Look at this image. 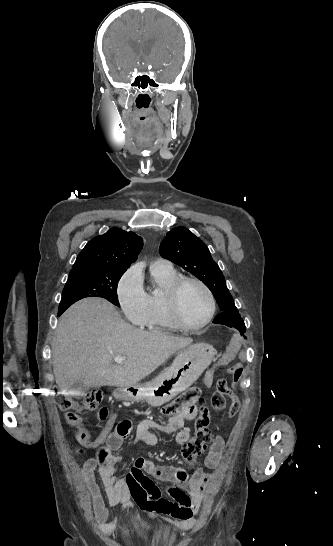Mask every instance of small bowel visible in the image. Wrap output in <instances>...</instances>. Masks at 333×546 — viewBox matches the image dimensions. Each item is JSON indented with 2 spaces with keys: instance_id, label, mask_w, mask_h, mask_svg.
<instances>
[{
  "instance_id": "1",
  "label": "small bowel",
  "mask_w": 333,
  "mask_h": 546,
  "mask_svg": "<svg viewBox=\"0 0 333 546\" xmlns=\"http://www.w3.org/2000/svg\"><path fill=\"white\" fill-rule=\"evenodd\" d=\"M240 343L241 338L236 334L230 341V346H225L218 361L213 363V369L210 367L205 369L206 375H204V381L202 382L204 387L209 386V380H211L215 372H221L233 361L237 359L241 361L245 358L241 354L238 355L237 349ZM227 411L232 416L237 414L238 405L233 403ZM164 413L169 415V419L165 424H159L149 419L142 420L136 427L133 441H141L147 445H157L159 438L152 432L153 429H157L166 433L178 431L176 435L177 444H185L191 436V427L187 424V421L195 417V407L192 403L180 406L179 403L175 402L167 405L164 408ZM115 419L116 415H111L106 426L95 440H91L87 431L77 433L76 436L79 453H82L83 449H96L103 445L109 448V454L105 457H90L80 467L91 495L95 518L102 531L107 535H111L116 528L117 520L107 523L109 513L95 480L94 473L96 469L108 503L110 505L121 504V513L139 507L152 517L180 530L194 528L197 525L195 515L202 507L211 481V474L204 469H199L190 475L182 468L161 466L152 461L139 458L126 478L118 479L116 473L120 457L113 452L120 448L122 442L131 433L132 428L129 421H123L112 430ZM122 428H125V430L123 431ZM223 449V438L220 435H215L207 450L204 467H217L221 461ZM154 480L170 484L167 493L172 500L161 498L160 489ZM164 515H172L178 520L166 518Z\"/></svg>"
}]
</instances>
